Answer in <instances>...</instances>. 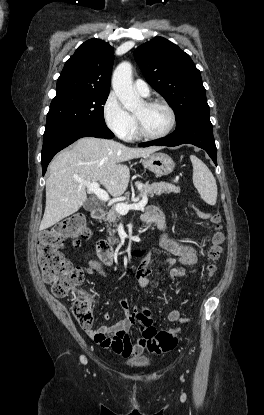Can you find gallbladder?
Wrapping results in <instances>:
<instances>
[{
	"mask_svg": "<svg viewBox=\"0 0 264 415\" xmlns=\"http://www.w3.org/2000/svg\"><path fill=\"white\" fill-rule=\"evenodd\" d=\"M84 209L92 210L95 208V204L91 199H87L83 205Z\"/></svg>",
	"mask_w": 264,
	"mask_h": 415,
	"instance_id": "gallbladder-1",
	"label": "gallbladder"
}]
</instances>
